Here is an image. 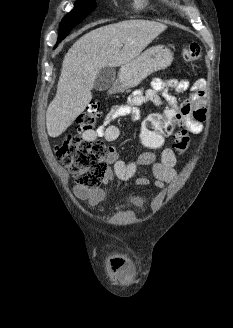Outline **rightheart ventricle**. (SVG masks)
<instances>
[{
    "mask_svg": "<svg viewBox=\"0 0 233 328\" xmlns=\"http://www.w3.org/2000/svg\"><path fill=\"white\" fill-rule=\"evenodd\" d=\"M144 0H138L137 6L141 7L143 5Z\"/></svg>",
    "mask_w": 233,
    "mask_h": 328,
    "instance_id": "obj_1",
    "label": "right heart ventricle"
}]
</instances>
